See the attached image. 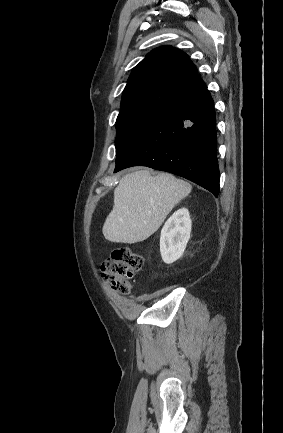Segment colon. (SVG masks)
<instances>
[{
	"label": "colon",
	"mask_w": 283,
	"mask_h": 433,
	"mask_svg": "<svg viewBox=\"0 0 283 433\" xmlns=\"http://www.w3.org/2000/svg\"><path fill=\"white\" fill-rule=\"evenodd\" d=\"M143 257L129 248L115 249L102 266V278L111 288L121 294L131 290L129 280L142 269Z\"/></svg>",
	"instance_id": "obj_1"
}]
</instances>
